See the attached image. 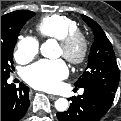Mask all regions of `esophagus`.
<instances>
[{
	"instance_id": "esophagus-1",
	"label": "esophagus",
	"mask_w": 121,
	"mask_h": 121,
	"mask_svg": "<svg viewBox=\"0 0 121 121\" xmlns=\"http://www.w3.org/2000/svg\"><path fill=\"white\" fill-rule=\"evenodd\" d=\"M48 97L50 98V99H52V100H55V99H57L58 97L57 96H55V95H48Z\"/></svg>"
}]
</instances>
